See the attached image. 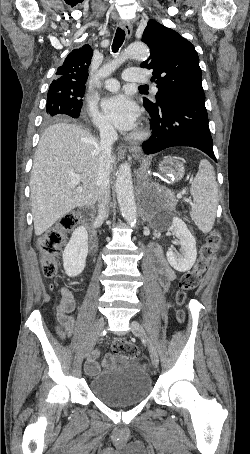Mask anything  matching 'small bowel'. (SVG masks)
Here are the masks:
<instances>
[{
	"label": "small bowel",
	"mask_w": 250,
	"mask_h": 454,
	"mask_svg": "<svg viewBox=\"0 0 250 454\" xmlns=\"http://www.w3.org/2000/svg\"><path fill=\"white\" fill-rule=\"evenodd\" d=\"M153 263L160 285L166 289L175 279V273L166 261L163 251L158 247L153 250ZM77 302V297L68 288L61 290V299L56 307V318L58 321L57 332L62 339L70 337L74 331L75 319L72 313L76 309ZM99 356L98 350L92 351L89 355L85 363V371L88 375H94L101 368L108 367L115 362L111 355L99 362Z\"/></svg>",
	"instance_id": "c3829d8e"
}]
</instances>
